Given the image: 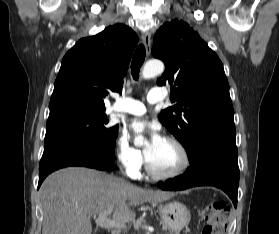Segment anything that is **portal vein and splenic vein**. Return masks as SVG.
<instances>
[{"mask_svg":"<svg viewBox=\"0 0 279 234\" xmlns=\"http://www.w3.org/2000/svg\"><path fill=\"white\" fill-rule=\"evenodd\" d=\"M110 213H111V210L99 214V216L95 220L96 224L99 225L100 227H105V228H110V227L123 228V227H125L124 223L108 218L107 216Z\"/></svg>","mask_w":279,"mask_h":234,"instance_id":"portal-vein-and-splenic-vein-1","label":"portal vein and splenic vein"}]
</instances>
